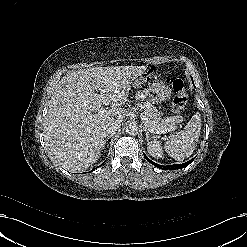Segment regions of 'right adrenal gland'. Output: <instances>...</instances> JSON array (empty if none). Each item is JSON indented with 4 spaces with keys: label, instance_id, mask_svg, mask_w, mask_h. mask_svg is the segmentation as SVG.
Returning <instances> with one entry per match:
<instances>
[{
    "label": "right adrenal gland",
    "instance_id": "1",
    "mask_svg": "<svg viewBox=\"0 0 247 247\" xmlns=\"http://www.w3.org/2000/svg\"><path fill=\"white\" fill-rule=\"evenodd\" d=\"M112 137H113V135H108V136H105V137L103 138V140H102V147H103V148L105 147L106 142H107L110 138H112Z\"/></svg>",
    "mask_w": 247,
    "mask_h": 247
}]
</instances>
